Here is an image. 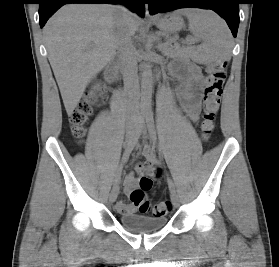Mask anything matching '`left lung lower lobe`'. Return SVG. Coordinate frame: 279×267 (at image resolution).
I'll use <instances>...</instances> for the list:
<instances>
[{
    "mask_svg": "<svg viewBox=\"0 0 279 267\" xmlns=\"http://www.w3.org/2000/svg\"><path fill=\"white\" fill-rule=\"evenodd\" d=\"M151 14L185 7H201L216 11L227 22L234 37L239 26V0H149Z\"/></svg>",
    "mask_w": 279,
    "mask_h": 267,
    "instance_id": "left-lung-lower-lobe-1",
    "label": "left lung lower lobe"
}]
</instances>
